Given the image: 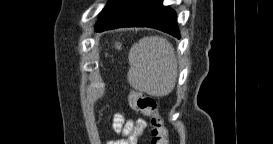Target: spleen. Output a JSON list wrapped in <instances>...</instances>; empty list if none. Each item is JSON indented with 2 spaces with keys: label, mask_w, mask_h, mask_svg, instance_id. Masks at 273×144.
Returning a JSON list of instances; mask_svg holds the SVG:
<instances>
[{
  "label": "spleen",
  "mask_w": 273,
  "mask_h": 144,
  "mask_svg": "<svg viewBox=\"0 0 273 144\" xmlns=\"http://www.w3.org/2000/svg\"><path fill=\"white\" fill-rule=\"evenodd\" d=\"M128 82L136 90L162 97L172 92L177 61L171 43L159 36L143 37L129 51Z\"/></svg>",
  "instance_id": "obj_1"
}]
</instances>
